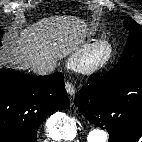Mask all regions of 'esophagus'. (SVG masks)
<instances>
[{"label":"esophagus","instance_id":"esophagus-1","mask_svg":"<svg viewBox=\"0 0 142 142\" xmlns=\"http://www.w3.org/2000/svg\"><path fill=\"white\" fill-rule=\"evenodd\" d=\"M65 88H66L67 93L69 95H71V96H73L75 94V92H76V89H75L74 85L69 81H67L65 83Z\"/></svg>","mask_w":142,"mask_h":142}]
</instances>
